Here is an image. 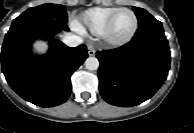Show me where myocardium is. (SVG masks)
<instances>
[{
	"label": "myocardium",
	"mask_w": 194,
	"mask_h": 133,
	"mask_svg": "<svg viewBox=\"0 0 194 133\" xmlns=\"http://www.w3.org/2000/svg\"><path fill=\"white\" fill-rule=\"evenodd\" d=\"M129 12L133 15L134 17V26H133V29L132 31L130 32V34L123 38V39H114L111 37L110 35V31H111V28H112V25L116 19V17L121 13V12ZM138 17L136 15V13L130 9V8H126V7H123V8H120L118 9L117 11H115L109 18L108 20L106 21V23L104 24L101 32H100V36L101 38L109 45H112V46H116V47H120V46H123L127 43H129L133 37L135 36L136 32H137V29H138Z\"/></svg>",
	"instance_id": "myocardium-1"
}]
</instances>
